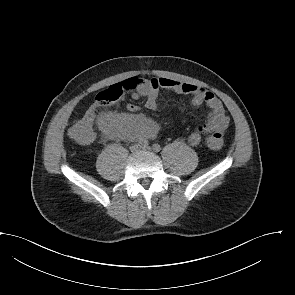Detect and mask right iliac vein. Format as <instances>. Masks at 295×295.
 I'll return each mask as SVG.
<instances>
[{"instance_id": "obj_1", "label": "right iliac vein", "mask_w": 295, "mask_h": 295, "mask_svg": "<svg viewBox=\"0 0 295 295\" xmlns=\"http://www.w3.org/2000/svg\"><path fill=\"white\" fill-rule=\"evenodd\" d=\"M140 150V145L139 144H134L130 147V151L133 153H137Z\"/></svg>"}]
</instances>
